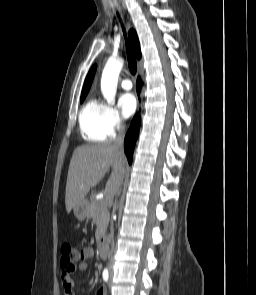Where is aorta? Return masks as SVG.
Listing matches in <instances>:
<instances>
[{"instance_id":"aorta-1","label":"aorta","mask_w":256,"mask_h":295,"mask_svg":"<svg viewBox=\"0 0 256 295\" xmlns=\"http://www.w3.org/2000/svg\"><path fill=\"white\" fill-rule=\"evenodd\" d=\"M123 67V60L110 58L105 65L101 77V91L109 104H114L117 91L119 73Z\"/></svg>"}]
</instances>
